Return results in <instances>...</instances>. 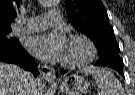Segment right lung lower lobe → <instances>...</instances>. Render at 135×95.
Returning <instances> with one entry per match:
<instances>
[{"mask_svg":"<svg viewBox=\"0 0 135 95\" xmlns=\"http://www.w3.org/2000/svg\"><path fill=\"white\" fill-rule=\"evenodd\" d=\"M0 61L19 65L35 76L38 74L35 60L21 47L17 39L10 45H0Z\"/></svg>","mask_w":135,"mask_h":95,"instance_id":"obj_1","label":"right lung lower lobe"}]
</instances>
